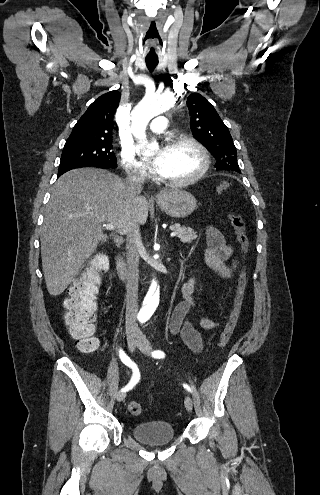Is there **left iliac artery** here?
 <instances>
[{
	"instance_id": "left-iliac-artery-1",
	"label": "left iliac artery",
	"mask_w": 320,
	"mask_h": 495,
	"mask_svg": "<svg viewBox=\"0 0 320 495\" xmlns=\"http://www.w3.org/2000/svg\"><path fill=\"white\" fill-rule=\"evenodd\" d=\"M152 356L154 358H158V359H161V358H164L165 357V353L161 350H156L152 353ZM184 388L187 389L188 391L192 392V389L189 387V385L187 384H183Z\"/></svg>"
}]
</instances>
